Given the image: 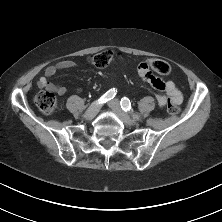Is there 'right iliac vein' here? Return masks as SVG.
<instances>
[{"label":"right iliac vein","instance_id":"1","mask_svg":"<svg viewBox=\"0 0 222 222\" xmlns=\"http://www.w3.org/2000/svg\"><path fill=\"white\" fill-rule=\"evenodd\" d=\"M100 107L101 105L98 102H94L93 104H91L83 115L84 119L92 120L98 113Z\"/></svg>","mask_w":222,"mask_h":222}]
</instances>
